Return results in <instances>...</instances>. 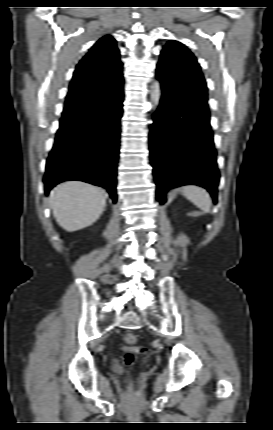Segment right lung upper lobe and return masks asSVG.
I'll return each instance as SVG.
<instances>
[{
  "label": "right lung upper lobe",
  "mask_w": 273,
  "mask_h": 430,
  "mask_svg": "<svg viewBox=\"0 0 273 430\" xmlns=\"http://www.w3.org/2000/svg\"><path fill=\"white\" fill-rule=\"evenodd\" d=\"M119 50L112 36L97 41L76 66L67 96L63 117L82 109L90 99L89 92L106 81H122V63Z\"/></svg>",
  "instance_id": "1"
}]
</instances>
